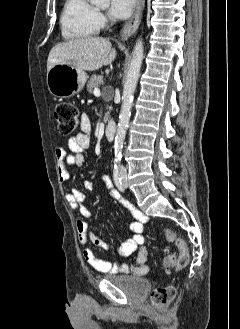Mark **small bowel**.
I'll return each mask as SVG.
<instances>
[{"label":"small bowel","mask_w":240,"mask_h":329,"mask_svg":"<svg viewBox=\"0 0 240 329\" xmlns=\"http://www.w3.org/2000/svg\"><path fill=\"white\" fill-rule=\"evenodd\" d=\"M90 132L91 121L87 114H83L81 117V131L75 136L71 137L67 142V147L70 150V154H67L66 150L62 146H58L55 149V157L58 162V178L61 183H65L69 180V173L67 166L77 165L83 166L85 164V151L90 146ZM100 182L110 189V198L117 201L120 205L127 208L134 220L130 223V230L133 234L128 238L118 249L117 255L125 258L131 256L137 252L136 258L132 263L125 262H109L104 259L98 258L91 245L101 248L103 250H110V246L99 239L89 228L88 219L91 217L89 209L85 206L86 196L78 189H73L66 194V200L72 209L78 210L81 217L76 221V227L78 232L79 241L83 246L82 254L84 260L95 270L102 273L110 274H123L130 273L134 276H143L147 274L149 268L147 266L148 249L143 245V223L147 220V217L143 215L139 210L133 207L127 200L121 197V195L113 189V184L110 178L106 175L100 177ZM94 182L92 180H86L84 182V188L87 191L92 190Z\"/></svg>","instance_id":"small-bowel-1"}]
</instances>
